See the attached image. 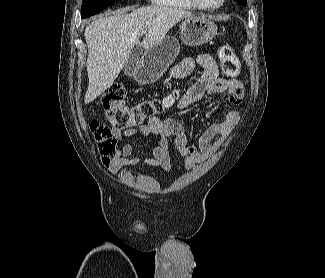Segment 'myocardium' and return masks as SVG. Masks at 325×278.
Masks as SVG:
<instances>
[{"instance_id":"myocardium-1","label":"myocardium","mask_w":325,"mask_h":278,"mask_svg":"<svg viewBox=\"0 0 325 278\" xmlns=\"http://www.w3.org/2000/svg\"><path fill=\"white\" fill-rule=\"evenodd\" d=\"M226 0H221L219 2V4L215 5V6H206L204 4L201 3L200 0H191V2L199 9H202V10H207V11H214V10H217L219 8H221L224 3H225Z\"/></svg>"}]
</instances>
